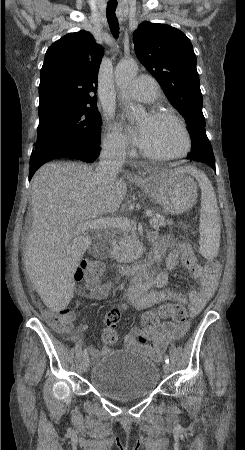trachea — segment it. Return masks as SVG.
Wrapping results in <instances>:
<instances>
[{"label": "trachea", "mask_w": 245, "mask_h": 450, "mask_svg": "<svg viewBox=\"0 0 245 450\" xmlns=\"http://www.w3.org/2000/svg\"><path fill=\"white\" fill-rule=\"evenodd\" d=\"M117 7V1H109L107 3L106 15L109 23L111 33L115 39L119 37V24L115 17V10Z\"/></svg>", "instance_id": "obj_1"}]
</instances>
